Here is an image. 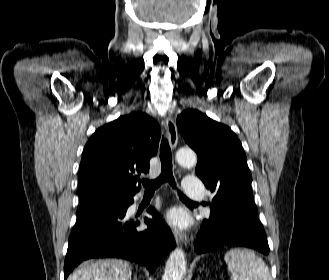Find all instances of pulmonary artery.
<instances>
[{"instance_id":"pulmonary-artery-1","label":"pulmonary artery","mask_w":329,"mask_h":280,"mask_svg":"<svg viewBox=\"0 0 329 280\" xmlns=\"http://www.w3.org/2000/svg\"><path fill=\"white\" fill-rule=\"evenodd\" d=\"M183 191L187 197L195 200L202 199L204 195V187L199 178L195 176H187L183 182Z\"/></svg>"}]
</instances>
